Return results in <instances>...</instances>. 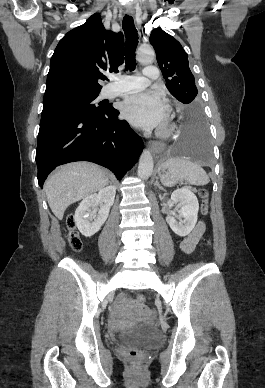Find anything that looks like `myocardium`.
Listing matches in <instances>:
<instances>
[{
    "mask_svg": "<svg viewBox=\"0 0 265 388\" xmlns=\"http://www.w3.org/2000/svg\"><path fill=\"white\" fill-rule=\"evenodd\" d=\"M174 128V124L171 123V122H167L165 123L164 125H162L158 130H157V134L162 137V138H166L168 137L172 130Z\"/></svg>",
    "mask_w": 265,
    "mask_h": 388,
    "instance_id": "f54148a6",
    "label": "myocardium"
}]
</instances>
